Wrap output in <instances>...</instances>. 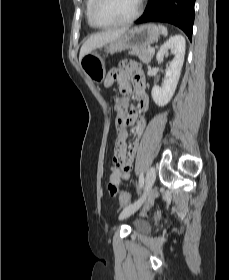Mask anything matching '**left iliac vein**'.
Masks as SVG:
<instances>
[{"mask_svg":"<svg viewBox=\"0 0 229 280\" xmlns=\"http://www.w3.org/2000/svg\"><path fill=\"white\" fill-rule=\"evenodd\" d=\"M155 178H156V169L154 167H150L146 174L144 193L137 201H135L133 204L127 206L122 210L120 214L121 219L131 216L141 207V205L146 200L147 195L150 192L155 182Z\"/></svg>","mask_w":229,"mask_h":280,"instance_id":"4c4485c4","label":"left iliac vein"}]
</instances>
